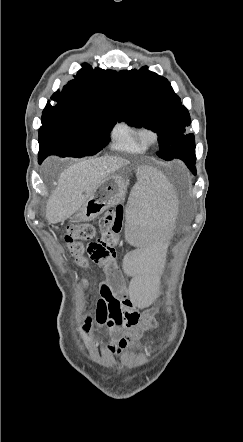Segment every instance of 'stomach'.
<instances>
[{
    "label": "stomach",
    "mask_w": 243,
    "mask_h": 442,
    "mask_svg": "<svg viewBox=\"0 0 243 442\" xmlns=\"http://www.w3.org/2000/svg\"><path fill=\"white\" fill-rule=\"evenodd\" d=\"M127 191L125 179L120 175H110L96 188L92 196L76 212L78 221H90L106 209L120 202Z\"/></svg>",
    "instance_id": "0dacf381"
}]
</instances>
